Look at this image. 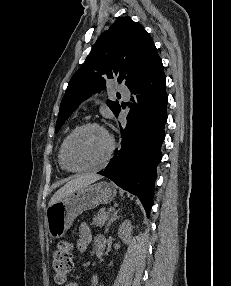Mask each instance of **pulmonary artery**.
Segmentation results:
<instances>
[{"mask_svg":"<svg viewBox=\"0 0 231 286\" xmlns=\"http://www.w3.org/2000/svg\"><path fill=\"white\" fill-rule=\"evenodd\" d=\"M117 91H118L120 94H122L124 97H126V98L129 97L130 92H129V89H128L125 85L119 84V85L117 86Z\"/></svg>","mask_w":231,"mask_h":286,"instance_id":"obj_1","label":"pulmonary artery"}]
</instances>
